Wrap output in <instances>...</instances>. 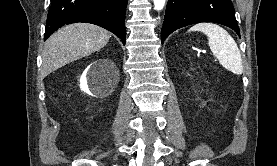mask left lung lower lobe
Returning <instances> with one entry per match:
<instances>
[{
    "label": "left lung lower lobe",
    "instance_id": "1",
    "mask_svg": "<svg viewBox=\"0 0 277 166\" xmlns=\"http://www.w3.org/2000/svg\"><path fill=\"white\" fill-rule=\"evenodd\" d=\"M200 22L225 25L240 37L231 0H169L161 30L162 43L175 30Z\"/></svg>",
    "mask_w": 277,
    "mask_h": 166
}]
</instances>
